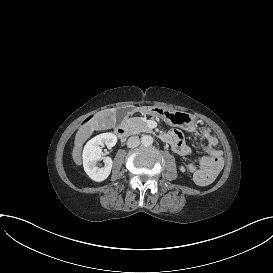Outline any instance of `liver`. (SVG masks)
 I'll return each mask as SVG.
<instances>
[{
	"mask_svg": "<svg viewBox=\"0 0 273 273\" xmlns=\"http://www.w3.org/2000/svg\"><path fill=\"white\" fill-rule=\"evenodd\" d=\"M117 108L104 109L94 114L93 118L82 125L75 136L72 157L76 165L82 164L81 151L83 143L95 130H106L116 125Z\"/></svg>",
	"mask_w": 273,
	"mask_h": 273,
	"instance_id": "1",
	"label": "liver"
}]
</instances>
